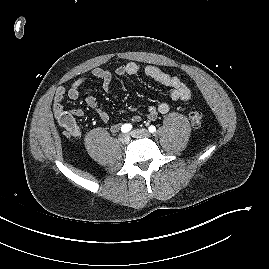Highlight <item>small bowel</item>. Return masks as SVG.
Here are the masks:
<instances>
[{"label": "small bowel", "mask_w": 269, "mask_h": 269, "mask_svg": "<svg viewBox=\"0 0 269 269\" xmlns=\"http://www.w3.org/2000/svg\"><path fill=\"white\" fill-rule=\"evenodd\" d=\"M115 73L119 76H133L139 73H143L155 82L169 88L170 102H161L156 106H150L147 112V117L149 120H155L159 114L168 113L173 103H188L191 98V91L182 80L176 76H172L163 72L161 69L153 65H141L136 62H129L118 66L115 70ZM91 77L102 81L103 89L107 94L111 96L115 95L112 87V73L110 71L102 68H95L91 73ZM87 79L88 78L85 76L76 79L68 89L64 86H60L54 95V116L72 137H79L81 135V131L75 122V118L82 117L84 112L82 109L66 110L64 109L62 102L65 96L71 100H77L80 96L81 87L87 81ZM86 104L89 108L93 109L97 113L100 120L103 122L109 121L110 116L108 112L99 106L95 96L88 95L86 97ZM66 117L69 118L68 123L64 121ZM140 120V115H134L132 117V122L136 123ZM119 128L120 124H114L111 126V131L117 132Z\"/></svg>", "instance_id": "c3829d8e"}]
</instances>
